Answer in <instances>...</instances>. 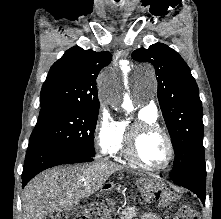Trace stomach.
I'll return each instance as SVG.
<instances>
[{"mask_svg":"<svg viewBox=\"0 0 221 219\" xmlns=\"http://www.w3.org/2000/svg\"><path fill=\"white\" fill-rule=\"evenodd\" d=\"M141 183L144 185V188H141L144 204H165V199L171 195V190H166L161 178H141Z\"/></svg>","mask_w":221,"mask_h":219,"instance_id":"0dacf381","label":"stomach"}]
</instances>
